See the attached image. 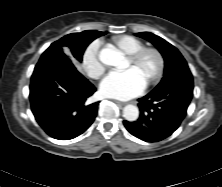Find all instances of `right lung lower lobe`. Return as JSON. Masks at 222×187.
<instances>
[{"label": "right lung lower lobe", "mask_w": 222, "mask_h": 187, "mask_svg": "<svg viewBox=\"0 0 222 187\" xmlns=\"http://www.w3.org/2000/svg\"><path fill=\"white\" fill-rule=\"evenodd\" d=\"M96 88L63 53L45 51L31 77V109L51 137L70 140L93 123L99 102L88 104Z\"/></svg>", "instance_id": "98d812e1"}]
</instances>
